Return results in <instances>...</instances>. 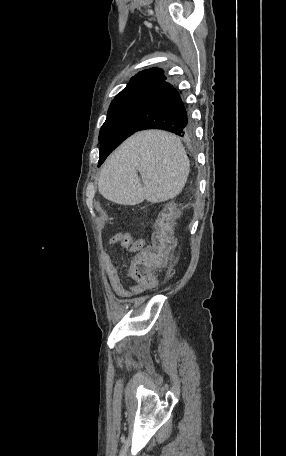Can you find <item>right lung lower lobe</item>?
Returning a JSON list of instances; mask_svg holds the SVG:
<instances>
[{
  "mask_svg": "<svg viewBox=\"0 0 286 456\" xmlns=\"http://www.w3.org/2000/svg\"><path fill=\"white\" fill-rule=\"evenodd\" d=\"M122 100L131 134L159 128L185 137L192 131L189 114L179 93L165 80L138 88Z\"/></svg>",
  "mask_w": 286,
  "mask_h": 456,
  "instance_id": "98d812e1",
  "label": "right lung lower lobe"
}]
</instances>
